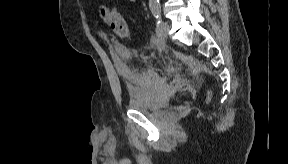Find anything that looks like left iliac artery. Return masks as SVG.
<instances>
[{"instance_id":"left-iliac-artery-1","label":"left iliac artery","mask_w":288,"mask_h":164,"mask_svg":"<svg viewBox=\"0 0 288 164\" xmlns=\"http://www.w3.org/2000/svg\"><path fill=\"white\" fill-rule=\"evenodd\" d=\"M149 6L153 16L157 19L158 23H160L161 6L159 0H149Z\"/></svg>"}]
</instances>
